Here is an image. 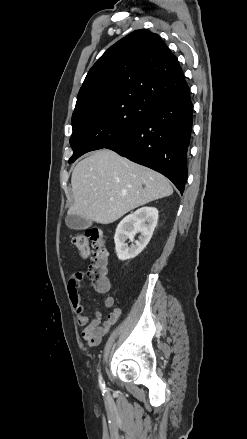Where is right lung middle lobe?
Listing matches in <instances>:
<instances>
[{
  "instance_id": "dd1d6c3e",
  "label": "right lung middle lobe",
  "mask_w": 247,
  "mask_h": 439,
  "mask_svg": "<svg viewBox=\"0 0 247 439\" xmlns=\"http://www.w3.org/2000/svg\"><path fill=\"white\" fill-rule=\"evenodd\" d=\"M148 106L137 101L107 102L72 116L70 144L74 162L81 155L115 144L144 118Z\"/></svg>"
}]
</instances>
